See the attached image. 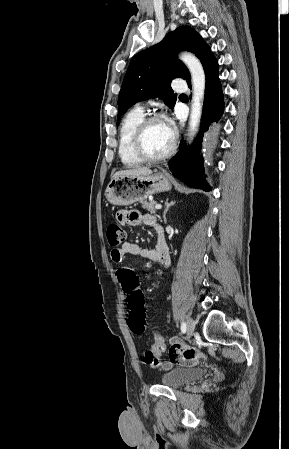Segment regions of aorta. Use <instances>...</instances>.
Instances as JSON below:
<instances>
[{
	"mask_svg": "<svg viewBox=\"0 0 289 449\" xmlns=\"http://www.w3.org/2000/svg\"><path fill=\"white\" fill-rule=\"evenodd\" d=\"M180 59L188 67L192 81V103L189 120L190 135H194L200 123L205 94V73L200 60L192 53L184 52Z\"/></svg>",
	"mask_w": 289,
	"mask_h": 449,
	"instance_id": "1",
	"label": "aorta"
}]
</instances>
